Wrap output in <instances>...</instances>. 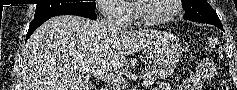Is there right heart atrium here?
Here are the masks:
<instances>
[{
	"label": "right heart atrium",
	"instance_id": "right-heart-atrium-1",
	"mask_svg": "<svg viewBox=\"0 0 237 90\" xmlns=\"http://www.w3.org/2000/svg\"><path fill=\"white\" fill-rule=\"evenodd\" d=\"M96 5L109 20H129L128 10L121 6V0H97Z\"/></svg>",
	"mask_w": 237,
	"mask_h": 90
}]
</instances>
